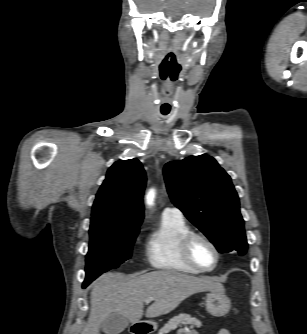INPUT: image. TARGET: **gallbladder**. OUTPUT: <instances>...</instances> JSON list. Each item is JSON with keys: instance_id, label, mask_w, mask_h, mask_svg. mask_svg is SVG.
<instances>
[{"instance_id": "gallbladder-1", "label": "gallbladder", "mask_w": 307, "mask_h": 334, "mask_svg": "<svg viewBox=\"0 0 307 334\" xmlns=\"http://www.w3.org/2000/svg\"><path fill=\"white\" fill-rule=\"evenodd\" d=\"M128 325L127 318L118 313H112L102 322L100 328L105 334H120Z\"/></svg>"}]
</instances>
